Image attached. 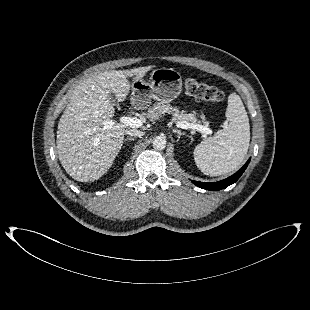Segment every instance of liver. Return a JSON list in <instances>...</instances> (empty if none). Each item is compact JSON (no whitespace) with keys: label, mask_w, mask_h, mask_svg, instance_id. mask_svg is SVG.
I'll list each match as a JSON object with an SVG mask.
<instances>
[{"label":"liver","mask_w":310,"mask_h":310,"mask_svg":"<svg viewBox=\"0 0 310 310\" xmlns=\"http://www.w3.org/2000/svg\"><path fill=\"white\" fill-rule=\"evenodd\" d=\"M150 69L104 71L76 86L60 118L56 140L59 160L73 179L95 181L112 166L128 126L115 122L104 128L115 113L110 95L125 100L131 88L127 77L142 78Z\"/></svg>","instance_id":"obj_1"}]
</instances>
